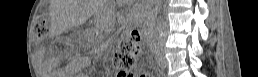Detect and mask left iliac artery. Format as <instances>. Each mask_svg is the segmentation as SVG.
<instances>
[{"label": "left iliac artery", "instance_id": "left-iliac-artery-1", "mask_svg": "<svg viewBox=\"0 0 258 77\" xmlns=\"http://www.w3.org/2000/svg\"><path fill=\"white\" fill-rule=\"evenodd\" d=\"M155 48H156V46H155ZM154 52H156V49H154Z\"/></svg>", "mask_w": 258, "mask_h": 77}]
</instances>
